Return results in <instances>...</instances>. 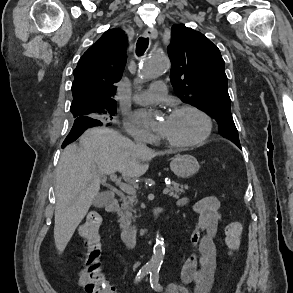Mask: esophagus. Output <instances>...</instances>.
Segmentation results:
<instances>
[{"instance_id": "esophagus-1", "label": "esophagus", "mask_w": 293, "mask_h": 293, "mask_svg": "<svg viewBox=\"0 0 293 293\" xmlns=\"http://www.w3.org/2000/svg\"><path fill=\"white\" fill-rule=\"evenodd\" d=\"M143 36L150 39H155L157 37V30L150 28L144 31Z\"/></svg>"}]
</instances>
